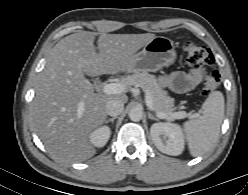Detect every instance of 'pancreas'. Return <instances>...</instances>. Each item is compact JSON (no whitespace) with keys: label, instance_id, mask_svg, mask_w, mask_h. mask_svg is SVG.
I'll return each instance as SVG.
<instances>
[{"label":"pancreas","instance_id":"pancreas-1","mask_svg":"<svg viewBox=\"0 0 248 195\" xmlns=\"http://www.w3.org/2000/svg\"><path fill=\"white\" fill-rule=\"evenodd\" d=\"M121 82L127 86H138L144 91H148L156 113H164L169 116L173 112L174 99L168 95L167 91L163 90L154 75L147 72L136 73L123 77Z\"/></svg>","mask_w":248,"mask_h":195}]
</instances>
